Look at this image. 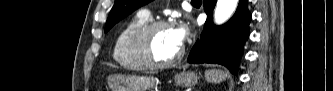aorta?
Segmentation results:
<instances>
[{
    "label": "aorta",
    "instance_id": "obj_1",
    "mask_svg": "<svg viewBox=\"0 0 333 91\" xmlns=\"http://www.w3.org/2000/svg\"><path fill=\"white\" fill-rule=\"evenodd\" d=\"M237 4L238 0H218L214 13L215 23L220 25L226 22L235 11Z\"/></svg>",
    "mask_w": 333,
    "mask_h": 91
}]
</instances>
